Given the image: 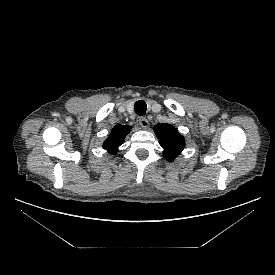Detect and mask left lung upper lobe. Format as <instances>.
<instances>
[{
    "instance_id": "left-lung-upper-lobe-1",
    "label": "left lung upper lobe",
    "mask_w": 275,
    "mask_h": 275,
    "mask_svg": "<svg viewBox=\"0 0 275 275\" xmlns=\"http://www.w3.org/2000/svg\"><path fill=\"white\" fill-rule=\"evenodd\" d=\"M154 131L164 149V157L168 161H173L185 147L184 137L178 133L175 127L167 123L157 124Z\"/></svg>"
}]
</instances>
